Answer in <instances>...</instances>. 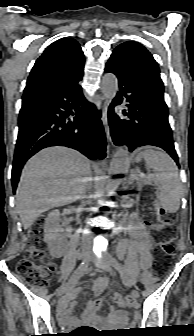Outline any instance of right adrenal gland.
Returning <instances> with one entry per match:
<instances>
[{"instance_id": "obj_1", "label": "right adrenal gland", "mask_w": 194, "mask_h": 336, "mask_svg": "<svg viewBox=\"0 0 194 336\" xmlns=\"http://www.w3.org/2000/svg\"><path fill=\"white\" fill-rule=\"evenodd\" d=\"M91 188H92V178L89 179L87 186H86L87 191L91 190Z\"/></svg>"}]
</instances>
